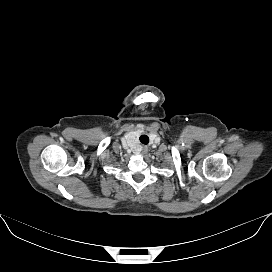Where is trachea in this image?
Returning <instances> with one entry per match:
<instances>
[{
  "label": "trachea",
  "mask_w": 272,
  "mask_h": 272,
  "mask_svg": "<svg viewBox=\"0 0 272 272\" xmlns=\"http://www.w3.org/2000/svg\"><path fill=\"white\" fill-rule=\"evenodd\" d=\"M139 139L142 144L147 145L149 143V137L147 135H141Z\"/></svg>",
  "instance_id": "obj_1"
}]
</instances>
